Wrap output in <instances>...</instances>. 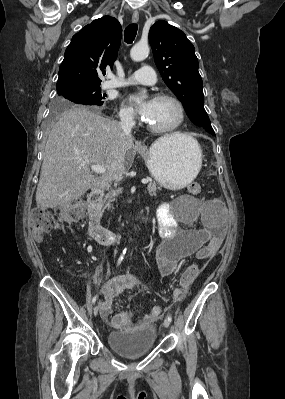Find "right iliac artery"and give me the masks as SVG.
<instances>
[{
	"label": "right iliac artery",
	"mask_w": 285,
	"mask_h": 399,
	"mask_svg": "<svg viewBox=\"0 0 285 399\" xmlns=\"http://www.w3.org/2000/svg\"><path fill=\"white\" fill-rule=\"evenodd\" d=\"M125 253H126V249L123 250V253H122V255L120 256L117 265H119V264L121 263V261L123 260V257H124V254H125ZM97 299H98V295L96 294V295L92 298V304H95V302L97 301Z\"/></svg>",
	"instance_id": "82829eb1"
}]
</instances>
